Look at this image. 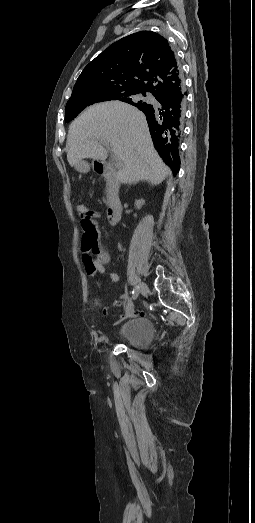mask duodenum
Listing matches in <instances>:
<instances>
[{"label":"duodenum","instance_id":"duodenum-1","mask_svg":"<svg viewBox=\"0 0 255 523\" xmlns=\"http://www.w3.org/2000/svg\"><path fill=\"white\" fill-rule=\"evenodd\" d=\"M94 170L107 181V220L110 225H116L122 215L117 167L112 162L95 160Z\"/></svg>","mask_w":255,"mask_h":523}]
</instances>
